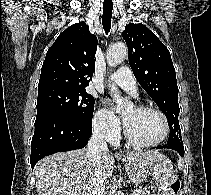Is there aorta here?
Listing matches in <instances>:
<instances>
[{
    "mask_svg": "<svg viewBox=\"0 0 211 195\" xmlns=\"http://www.w3.org/2000/svg\"><path fill=\"white\" fill-rule=\"evenodd\" d=\"M128 54L127 46L124 43L113 44L107 51V63L111 67H115L122 63ZM110 94L114 96L117 103V111L131 106V102L120 97V93L115 85H110ZM110 195H117L115 187H112Z\"/></svg>",
    "mask_w": 211,
    "mask_h": 195,
    "instance_id": "1",
    "label": "aorta"
}]
</instances>
